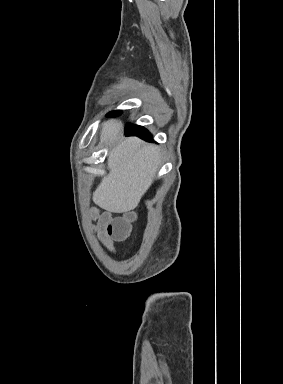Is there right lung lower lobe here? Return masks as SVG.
I'll use <instances>...</instances> for the list:
<instances>
[{"mask_svg":"<svg viewBox=\"0 0 283 384\" xmlns=\"http://www.w3.org/2000/svg\"><path fill=\"white\" fill-rule=\"evenodd\" d=\"M120 111H113L107 114L108 117L118 116ZM126 136H138L146 141H153L152 135L142 126L127 124L125 129Z\"/></svg>","mask_w":283,"mask_h":384,"instance_id":"obj_1","label":"right lung lower lobe"}]
</instances>
